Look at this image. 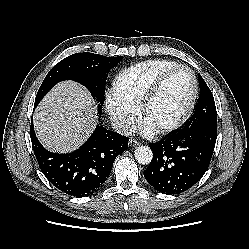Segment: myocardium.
<instances>
[{
    "label": "myocardium",
    "instance_id": "obj_1",
    "mask_svg": "<svg viewBox=\"0 0 249 249\" xmlns=\"http://www.w3.org/2000/svg\"><path fill=\"white\" fill-rule=\"evenodd\" d=\"M178 70H186L190 74V77H191V90H190L188 102H187L184 110L182 111V113L174 121H172L169 124L163 125L159 128H156L159 133H169V132H172L174 130H177L182 125H184V123L190 118V116L194 110L197 95H198L197 78H196L195 72L192 70V68H190L189 66L184 65V64H177V65L165 70L164 72H162L156 78V80L153 82V84L151 85L149 90L146 92V94L144 95L143 99L141 100L139 108H138L140 117L142 119H145V115H146V112H147L149 106L152 104L154 99L159 94V92H160L163 84L167 80V78Z\"/></svg>",
    "mask_w": 249,
    "mask_h": 249
}]
</instances>
